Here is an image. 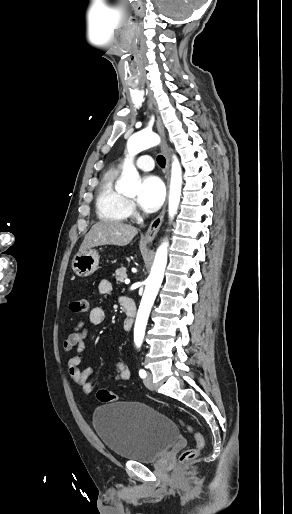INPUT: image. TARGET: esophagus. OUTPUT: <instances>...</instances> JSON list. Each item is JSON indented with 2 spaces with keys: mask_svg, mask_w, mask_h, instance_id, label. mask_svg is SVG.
Returning a JSON list of instances; mask_svg holds the SVG:
<instances>
[{
  "mask_svg": "<svg viewBox=\"0 0 292 514\" xmlns=\"http://www.w3.org/2000/svg\"><path fill=\"white\" fill-rule=\"evenodd\" d=\"M148 108L151 111L155 110L154 106H153V102L150 99H148ZM156 125H157L158 132H159V134L161 135V138H162V146H161V148H162V150L166 151V136H165L164 128H163L162 123H161V119L159 118L158 115H157ZM169 172H170V161H169V157L167 155L166 156L167 187L169 186ZM166 204H167V200H166V202L164 204V207H163L161 213L149 225L148 230H147V232L145 233V236H144V240L146 242H151L155 238V236L157 235V232L159 231V229L161 227V224L163 222V219H164L165 210H166Z\"/></svg>",
  "mask_w": 292,
  "mask_h": 514,
  "instance_id": "34e87169",
  "label": "esophagus"
}]
</instances>
